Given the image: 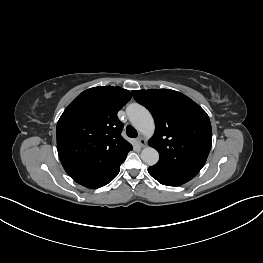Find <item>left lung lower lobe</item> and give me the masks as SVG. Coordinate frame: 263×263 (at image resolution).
Returning <instances> with one entry per match:
<instances>
[{
	"instance_id": "obj_1",
	"label": "left lung lower lobe",
	"mask_w": 263,
	"mask_h": 263,
	"mask_svg": "<svg viewBox=\"0 0 263 263\" xmlns=\"http://www.w3.org/2000/svg\"><path fill=\"white\" fill-rule=\"evenodd\" d=\"M148 172L159 183L167 186H179L192 179L188 176L167 172L156 166H150Z\"/></svg>"
}]
</instances>
